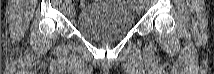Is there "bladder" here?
<instances>
[{"label":"bladder","instance_id":"bladder-1","mask_svg":"<svg viewBox=\"0 0 214 74\" xmlns=\"http://www.w3.org/2000/svg\"><path fill=\"white\" fill-rule=\"evenodd\" d=\"M134 17L121 1H100L85 8L77 17L76 30L94 41H112L126 36L133 28Z\"/></svg>","mask_w":214,"mask_h":74}]
</instances>
